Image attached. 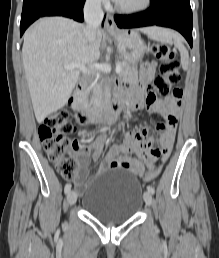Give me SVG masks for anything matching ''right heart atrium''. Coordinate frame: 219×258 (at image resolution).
Masks as SVG:
<instances>
[{
  "label": "right heart atrium",
  "instance_id": "obj_1",
  "mask_svg": "<svg viewBox=\"0 0 219 258\" xmlns=\"http://www.w3.org/2000/svg\"><path fill=\"white\" fill-rule=\"evenodd\" d=\"M91 5L100 6L106 2V0H87Z\"/></svg>",
  "mask_w": 219,
  "mask_h": 258
}]
</instances>
